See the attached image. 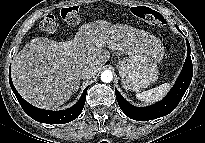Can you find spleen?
I'll return each instance as SVG.
<instances>
[{
    "mask_svg": "<svg viewBox=\"0 0 205 143\" xmlns=\"http://www.w3.org/2000/svg\"><path fill=\"white\" fill-rule=\"evenodd\" d=\"M169 89H170V83H164L155 88L146 90L141 93H137L136 98L146 104H152L165 97Z\"/></svg>",
    "mask_w": 205,
    "mask_h": 143,
    "instance_id": "3e777b00",
    "label": "spleen"
}]
</instances>
